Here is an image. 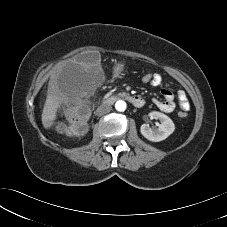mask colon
Masks as SVG:
<instances>
[{
	"mask_svg": "<svg viewBox=\"0 0 227 227\" xmlns=\"http://www.w3.org/2000/svg\"><path fill=\"white\" fill-rule=\"evenodd\" d=\"M155 79V73L147 72L142 74L141 81L145 84H152ZM88 115V109L86 107H78L75 110H73L70 114V125H66L62 122H58L56 125V128L61 133L66 134H77L81 132L86 124V119ZM180 117H186L187 113L186 111L179 112Z\"/></svg>",
	"mask_w": 227,
	"mask_h": 227,
	"instance_id": "5ec220e1",
	"label": "colon"
}]
</instances>
